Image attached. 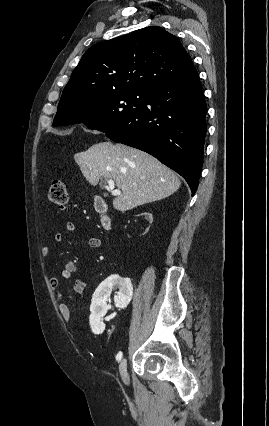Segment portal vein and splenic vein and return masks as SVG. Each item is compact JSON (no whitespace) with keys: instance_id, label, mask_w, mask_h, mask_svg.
Here are the masks:
<instances>
[{"instance_id":"portal-vein-and-splenic-vein-1","label":"portal vein and splenic vein","mask_w":269,"mask_h":426,"mask_svg":"<svg viewBox=\"0 0 269 426\" xmlns=\"http://www.w3.org/2000/svg\"><path fill=\"white\" fill-rule=\"evenodd\" d=\"M107 184H108V189L111 191V194L113 196H118L121 195V191L118 189H114L115 188V182L112 179L107 180Z\"/></svg>"}]
</instances>
